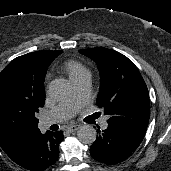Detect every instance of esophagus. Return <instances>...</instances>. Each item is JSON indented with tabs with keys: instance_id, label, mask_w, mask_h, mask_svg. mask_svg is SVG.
<instances>
[{
	"instance_id": "obj_1",
	"label": "esophagus",
	"mask_w": 171,
	"mask_h": 171,
	"mask_svg": "<svg viewBox=\"0 0 171 171\" xmlns=\"http://www.w3.org/2000/svg\"><path fill=\"white\" fill-rule=\"evenodd\" d=\"M80 128V125L74 124V125H69L66 127V130L68 132H74Z\"/></svg>"
}]
</instances>
